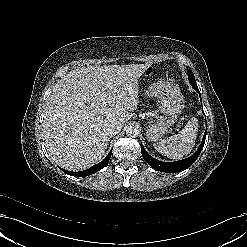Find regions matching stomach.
<instances>
[{
	"label": "stomach",
	"mask_w": 247,
	"mask_h": 247,
	"mask_svg": "<svg viewBox=\"0 0 247 247\" xmlns=\"http://www.w3.org/2000/svg\"><path fill=\"white\" fill-rule=\"evenodd\" d=\"M147 95L158 99L160 112L167 116L147 127V138L157 142L168 131L171 125L170 119L182 112L184 101L179 89L168 81L153 83L148 88Z\"/></svg>",
	"instance_id": "1"
}]
</instances>
